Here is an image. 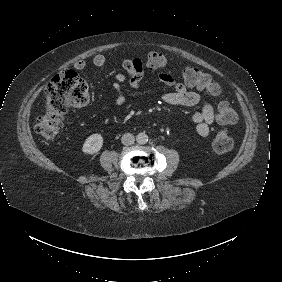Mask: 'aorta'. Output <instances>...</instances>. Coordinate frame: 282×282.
Segmentation results:
<instances>
[{
    "instance_id": "obj_1",
    "label": "aorta",
    "mask_w": 282,
    "mask_h": 282,
    "mask_svg": "<svg viewBox=\"0 0 282 282\" xmlns=\"http://www.w3.org/2000/svg\"><path fill=\"white\" fill-rule=\"evenodd\" d=\"M136 142L140 145H144L148 142V135L145 132H140L136 135Z\"/></svg>"
}]
</instances>
